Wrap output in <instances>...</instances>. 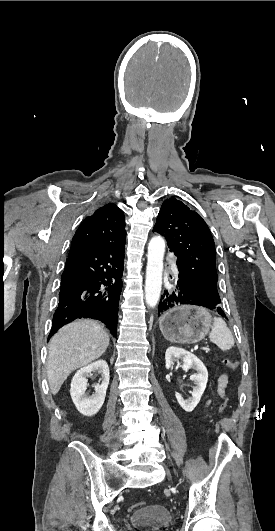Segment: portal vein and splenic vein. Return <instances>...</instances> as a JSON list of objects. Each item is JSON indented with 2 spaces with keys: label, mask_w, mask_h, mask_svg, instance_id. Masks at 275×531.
<instances>
[{
  "label": "portal vein and splenic vein",
  "mask_w": 275,
  "mask_h": 531,
  "mask_svg": "<svg viewBox=\"0 0 275 531\" xmlns=\"http://www.w3.org/2000/svg\"><path fill=\"white\" fill-rule=\"evenodd\" d=\"M194 349H198V346H194ZM199 350H210V347H199Z\"/></svg>",
  "instance_id": "portal-vein-and-splenic-vein-1"
}]
</instances>
